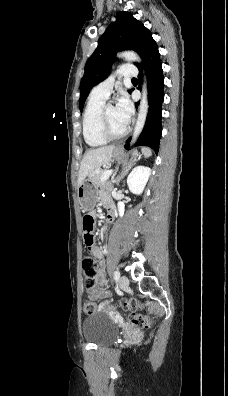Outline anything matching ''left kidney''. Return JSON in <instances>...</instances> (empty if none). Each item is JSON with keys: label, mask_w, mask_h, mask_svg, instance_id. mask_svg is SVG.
Instances as JSON below:
<instances>
[{"label": "left kidney", "mask_w": 228, "mask_h": 396, "mask_svg": "<svg viewBox=\"0 0 228 396\" xmlns=\"http://www.w3.org/2000/svg\"><path fill=\"white\" fill-rule=\"evenodd\" d=\"M150 175L151 169L149 167H135L127 178L129 190L136 195H140L143 192Z\"/></svg>", "instance_id": "5707ae66"}]
</instances>
